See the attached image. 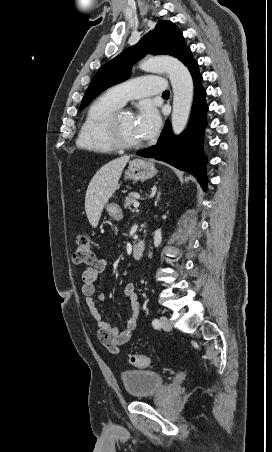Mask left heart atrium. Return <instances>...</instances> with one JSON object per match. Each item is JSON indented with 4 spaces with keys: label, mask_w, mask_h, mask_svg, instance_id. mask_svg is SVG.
Masks as SVG:
<instances>
[{
    "label": "left heart atrium",
    "mask_w": 272,
    "mask_h": 452,
    "mask_svg": "<svg viewBox=\"0 0 272 452\" xmlns=\"http://www.w3.org/2000/svg\"><path fill=\"white\" fill-rule=\"evenodd\" d=\"M138 132L141 138H152L159 130L161 119L156 108L150 104H145L141 108Z\"/></svg>",
    "instance_id": "39dd6f15"
}]
</instances>
